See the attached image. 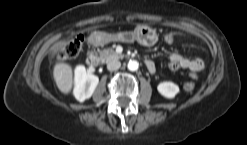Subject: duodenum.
I'll return each mask as SVG.
<instances>
[{"label": "duodenum", "mask_w": 247, "mask_h": 145, "mask_svg": "<svg viewBox=\"0 0 247 145\" xmlns=\"http://www.w3.org/2000/svg\"><path fill=\"white\" fill-rule=\"evenodd\" d=\"M104 42V37L102 35H95L93 38H92V43L94 45H99L101 43ZM87 63L89 66H92V67H96L98 65V59H97V56L95 54L94 51H89L88 54H87ZM146 64V67L148 68V70L150 72H155V64L150 61V60H146L145 62Z\"/></svg>", "instance_id": "obj_1"}]
</instances>
